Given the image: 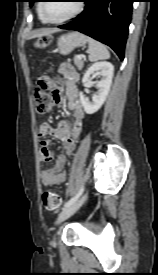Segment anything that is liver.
Listing matches in <instances>:
<instances>
[{
	"mask_svg": "<svg viewBox=\"0 0 158 275\" xmlns=\"http://www.w3.org/2000/svg\"><path fill=\"white\" fill-rule=\"evenodd\" d=\"M53 31L54 30H44V31H42L40 33L35 34L34 37L48 35V34L52 33Z\"/></svg>",
	"mask_w": 158,
	"mask_h": 275,
	"instance_id": "liver-1",
	"label": "liver"
}]
</instances>
